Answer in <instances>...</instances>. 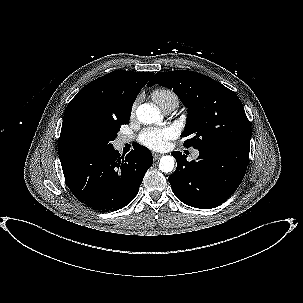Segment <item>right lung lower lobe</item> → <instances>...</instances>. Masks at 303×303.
I'll return each instance as SVG.
<instances>
[{
	"label": "right lung lower lobe",
	"instance_id": "right-lung-lower-lobe-1",
	"mask_svg": "<svg viewBox=\"0 0 303 303\" xmlns=\"http://www.w3.org/2000/svg\"><path fill=\"white\" fill-rule=\"evenodd\" d=\"M152 163L151 152L139 145L126 156L112 147L61 161L73 195L85 205L107 212L119 210L134 199Z\"/></svg>",
	"mask_w": 303,
	"mask_h": 303
}]
</instances>
